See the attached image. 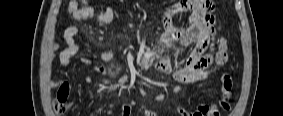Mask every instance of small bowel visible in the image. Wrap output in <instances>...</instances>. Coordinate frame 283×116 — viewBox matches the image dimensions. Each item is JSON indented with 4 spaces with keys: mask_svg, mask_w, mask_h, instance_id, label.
I'll list each match as a JSON object with an SVG mask.
<instances>
[{
    "mask_svg": "<svg viewBox=\"0 0 283 116\" xmlns=\"http://www.w3.org/2000/svg\"><path fill=\"white\" fill-rule=\"evenodd\" d=\"M193 4V12L189 18V24L186 27L178 28L172 24L171 17L175 12L183 11ZM212 9V1L208 0H182L176 8L168 9L163 15L164 33L162 35L163 43L177 42L187 44L194 42L196 44L194 50L186 59L183 66L174 68L171 60L168 57L161 58L156 63V68L166 74L173 75L174 79L180 83L192 84L205 80L210 75V66L212 58L209 53L213 36L216 32L213 17L209 12ZM69 15L77 21L88 19L95 20L99 23H109L114 17V10L108 8L105 11L98 10L95 6L90 5L80 7L77 1H70L67 7ZM79 34L77 26H69L65 29L62 40L65 47L59 52L58 59L62 66H69L72 63L73 57L81 51L80 44L76 41V36ZM59 43L54 45V48H59ZM103 60L111 58L110 52H105L101 55ZM87 63L86 58L83 59ZM103 71L104 68L100 67ZM225 76L221 80V97L220 103H225L231 100V79L228 80ZM90 96L93 92L90 91ZM139 113L143 116H156V114L146 108H139ZM178 111L181 116H219V113L212 111V107L204 104H199L192 112L187 111L183 106L178 105ZM124 116L131 115V106L125 105L123 109Z\"/></svg>",
    "mask_w": 283,
    "mask_h": 116,
    "instance_id": "obj_1",
    "label": "small bowel"
}]
</instances>
